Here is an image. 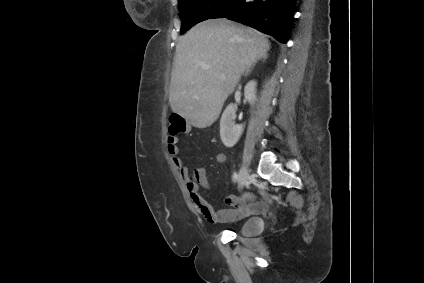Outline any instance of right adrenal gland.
<instances>
[{
  "instance_id": "1",
  "label": "right adrenal gland",
  "mask_w": 424,
  "mask_h": 283,
  "mask_svg": "<svg viewBox=\"0 0 424 283\" xmlns=\"http://www.w3.org/2000/svg\"><path fill=\"white\" fill-rule=\"evenodd\" d=\"M263 61H265L266 59H267V55H263L262 56V58H261ZM255 64H256V62H253L247 69H246V72L244 73V75L243 76H247L250 72H251V70L253 69V67L255 66Z\"/></svg>"
}]
</instances>
